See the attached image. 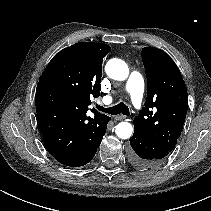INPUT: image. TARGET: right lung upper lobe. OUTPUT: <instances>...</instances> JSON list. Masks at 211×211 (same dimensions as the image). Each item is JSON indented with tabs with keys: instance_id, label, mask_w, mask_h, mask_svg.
I'll return each instance as SVG.
<instances>
[{
	"instance_id": "right-lung-upper-lobe-1",
	"label": "right lung upper lobe",
	"mask_w": 211,
	"mask_h": 211,
	"mask_svg": "<svg viewBox=\"0 0 211 211\" xmlns=\"http://www.w3.org/2000/svg\"><path fill=\"white\" fill-rule=\"evenodd\" d=\"M110 51L111 48L107 44L79 42L58 52L51 59L44 73L52 65L58 66L62 69L66 80L78 92L79 100L88 106L91 104L90 96L100 95L102 61ZM39 84L44 83L39 82Z\"/></svg>"
}]
</instances>
